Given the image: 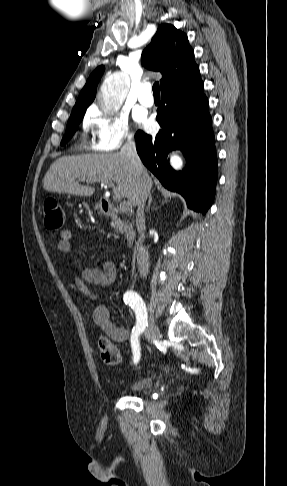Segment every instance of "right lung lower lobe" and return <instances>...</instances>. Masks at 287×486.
<instances>
[{
    "label": "right lung lower lobe",
    "mask_w": 287,
    "mask_h": 486,
    "mask_svg": "<svg viewBox=\"0 0 287 486\" xmlns=\"http://www.w3.org/2000/svg\"><path fill=\"white\" fill-rule=\"evenodd\" d=\"M156 136L138 131L136 149L143 164L168 190L180 193L189 208L205 214L217 182V155L208 100L200 77L161 92ZM181 150L186 158L182 171L170 166L167 156Z\"/></svg>",
    "instance_id": "obj_1"
}]
</instances>
